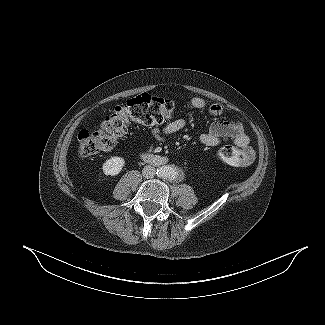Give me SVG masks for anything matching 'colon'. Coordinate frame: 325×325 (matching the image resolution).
<instances>
[{
  "instance_id": "1",
  "label": "colon",
  "mask_w": 325,
  "mask_h": 325,
  "mask_svg": "<svg viewBox=\"0 0 325 325\" xmlns=\"http://www.w3.org/2000/svg\"><path fill=\"white\" fill-rule=\"evenodd\" d=\"M176 108L174 100L152 96L147 93L137 95L124 104L116 106L102 121L96 131L83 129L78 133V152L82 157L108 151L127 133L131 124L157 125L171 118ZM217 158L229 165L248 164L246 153L236 147H221Z\"/></svg>"
}]
</instances>
